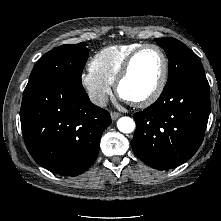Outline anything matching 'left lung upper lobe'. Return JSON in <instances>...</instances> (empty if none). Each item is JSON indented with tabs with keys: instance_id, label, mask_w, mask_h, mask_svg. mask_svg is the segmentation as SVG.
<instances>
[{
	"instance_id": "left-lung-upper-lobe-1",
	"label": "left lung upper lobe",
	"mask_w": 221,
	"mask_h": 221,
	"mask_svg": "<svg viewBox=\"0 0 221 221\" xmlns=\"http://www.w3.org/2000/svg\"><path fill=\"white\" fill-rule=\"evenodd\" d=\"M156 43L164 49L169 59L168 88L183 77L204 72V68L195 55L175 38H157Z\"/></svg>"
}]
</instances>
